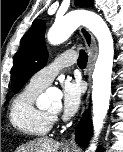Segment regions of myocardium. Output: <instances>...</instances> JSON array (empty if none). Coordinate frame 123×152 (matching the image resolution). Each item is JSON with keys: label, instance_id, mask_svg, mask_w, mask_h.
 Here are the masks:
<instances>
[{"label": "myocardium", "instance_id": "myocardium-1", "mask_svg": "<svg viewBox=\"0 0 123 152\" xmlns=\"http://www.w3.org/2000/svg\"><path fill=\"white\" fill-rule=\"evenodd\" d=\"M47 113L52 119H54L57 115L56 113H51V112H47Z\"/></svg>", "mask_w": 123, "mask_h": 152}]
</instances>
